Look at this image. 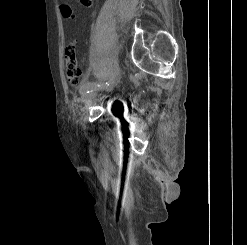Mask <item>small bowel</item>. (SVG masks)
<instances>
[{
  "label": "small bowel",
  "mask_w": 247,
  "mask_h": 245,
  "mask_svg": "<svg viewBox=\"0 0 247 245\" xmlns=\"http://www.w3.org/2000/svg\"><path fill=\"white\" fill-rule=\"evenodd\" d=\"M81 4L86 6V7H89L92 5L93 3V0H80ZM60 10H61V14L64 18H71L72 15H73V12H72V7L70 4L68 3H64L60 6Z\"/></svg>",
  "instance_id": "obj_1"
}]
</instances>
